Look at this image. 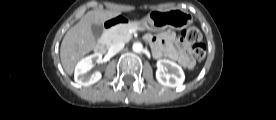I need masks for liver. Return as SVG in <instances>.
Listing matches in <instances>:
<instances>
[{
  "instance_id": "1",
  "label": "liver",
  "mask_w": 276,
  "mask_h": 120,
  "mask_svg": "<svg viewBox=\"0 0 276 120\" xmlns=\"http://www.w3.org/2000/svg\"><path fill=\"white\" fill-rule=\"evenodd\" d=\"M120 14V11L92 10L67 31L60 48L61 63L67 74L71 75L76 63L95 47L91 26L101 25Z\"/></svg>"
}]
</instances>
